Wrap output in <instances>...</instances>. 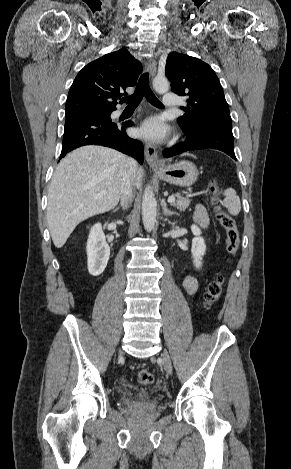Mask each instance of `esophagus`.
Masks as SVG:
<instances>
[{
	"instance_id": "obj_1",
	"label": "esophagus",
	"mask_w": 291,
	"mask_h": 469,
	"mask_svg": "<svg viewBox=\"0 0 291 469\" xmlns=\"http://www.w3.org/2000/svg\"><path fill=\"white\" fill-rule=\"evenodd\" d=\"M156 65V60L153 57H150L145 64L146 71L149 72L151 77L156 73ZM144 149L145 158L150 167L160 168L163 166L162 162L158 158L157 150L154 145L145 143Z\"/></svg>"
}]
</instances>
